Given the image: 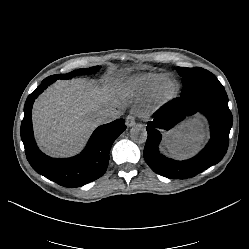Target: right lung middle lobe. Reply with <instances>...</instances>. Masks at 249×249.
<instances>
[{
	"label": "right lung middle lobe",
	"mask_w": 249,
	"mask_h": 249,
	"mask_svg": "<svg viewBox=\"0 0 249 249\" xmlns=\"http://www.w3.org/2000/svg\"><path fill=\"white\" fill-rule=\"evenodd\" d=\"M100 69V66H94L86 69H78L68 74H58L47 77L45 80H57V79H70L76 75H91L97 72Z\"/></svg>",
	"instance_id": "1"
}]
</instances>
